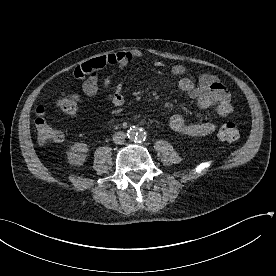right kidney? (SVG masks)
I'll return each mask as SVG.
<instances>
[{
	"instance_id": "obj_1",
	"label": "right kidney",
	"mask_w": 276,
	"mask_h": 276,
	"mask_svg": "<svg viewBox=\"0 0 276 276\" xmlns=\"http://www.w3.org/2000/svg\"><path fill=\"white\" fill-rule=\"evenodd\" d=\"M88 146L85 143H75L67 152L68 161L72 165L80 166L87 158Z\"/></svg>"
}]
</instances>
